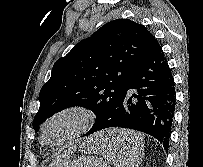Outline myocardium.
<instances>
[{
  "label": "myocardium",
  "instance_id": "obj_1",
  "mask_svg": "<svg viewBox=\"0 0 203 167\" xmlns=\"http://www.w3.org/2000/svg\"><path fill=\"white\" fill-rule=\"evenodd\" d=\"M63 118H71L73 123L70 129L60 138L51 141L48 137L51 127ZM94 114L87 108L81 106H67L61 108L51 114L42 125L41 136L42 141L46 145L58 146L62 145L80 135L87 132L94 123Z\"/></svg>",
  "mask_w": 203,
  "mask_h": 167
}]
</instances>
